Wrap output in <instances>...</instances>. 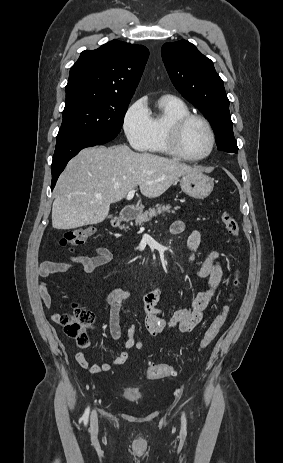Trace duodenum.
<instances>
[{
	"label": "duodenum",
	"instance_id": "obj_1",
	"mask_svg": "<svg viewBox=\"0 0 283 463\" xmlns=\"http://www.w3.org/2000/svg\"><path fill=\"white\" fill-rule=\"evenodd\" d=\"M137 216L135 205H128L122 209L119 216L113 221V226L118 227L126 221H130Z\"/></svg>",
	"mask_w": 283,
	"mask_h": 463
}]
</instances>
